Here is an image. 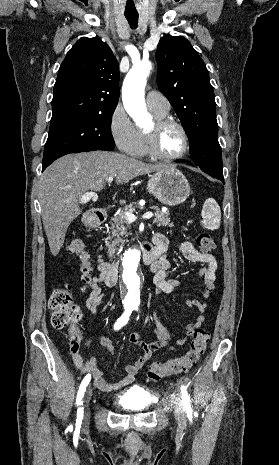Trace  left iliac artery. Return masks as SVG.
Segmentation results:
<instances>
[{
    "label": "left iliac artery",
    "mask_w": 279,
    "mask_h": 465,
    "mask_svg": "<svg viewBox=\"0 0 279 465\" xmlns=\"http://www.w3.org/2000/svg\"><path fill=\"white\" fill-rule=\"evenodd\" d=\"M133 309L138 310V305L133 306ZM181 393H182L183 403L185 405V409H186V412H187V416L191 420L192 419V409H191V406H190V397L188 395L186 386H184V385L181 386Z\"/></svg>",
    "instance_id": "44dca946"
}]
</instances>
